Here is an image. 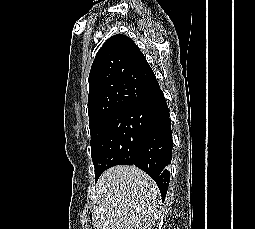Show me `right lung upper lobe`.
Listing matches in <instances>:
<instances>
[{
  "mask_svg": "<svg viewBox=\"0 0 255 229\" xmlns=\"http://www.w3.org/2000/svg\"><path fill=\"white\" fill-rule=\"evenodd\" d=\"M88 81L92 134L105 120L148 95L156 77L134 41L118 34L96 54Z\"/></svg>",
  "mask_w": 255,
  "mask_h": 229,
  "instance_id": "right-lung-upper-lobe-1",
  "label": "right lung upper lobe"
}]
</instances>
